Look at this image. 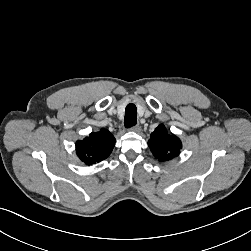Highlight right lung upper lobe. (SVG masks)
<instances>
[{
  "label": "right lung upper lobe",
  "instance_id": "obj_1",
  "mask_svg": "<svg viewBox=\"0 0 251 251\" xmlns=\"http://www.w3.org/2000/svg\"><path fill=\"white\" fill-rule=\"evenodd\" d=\"M114 136L106 129L92 132L88 137L76 142V153L81 161L92 165L106 159L115 146Z\"/></svg>",
  "mask_w": 251,
  "mask_h": 251
}]
</instances>
